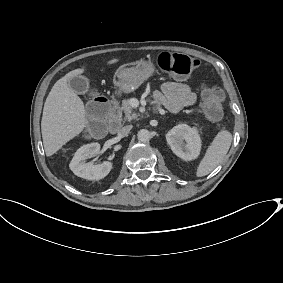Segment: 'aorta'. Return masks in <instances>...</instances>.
<instances>
[{
    "label": "aorta",
    "instance_id": "762f6f07",
    "mask_svg": "<svg viewBox=\"0 0 283 283\" xmlns=\"http://www.w3.org/2000/svg\"><path fill=\"white\" fill-rule=\"evenodd\" d=\"M138 140L141 142H147L151 139V134L147 129H141L137 133Z\"/></svg>",
    "mask_w": 283,
    "mask_h": 283
}]
</instances>
